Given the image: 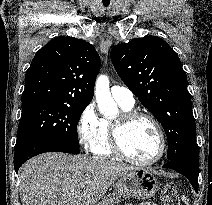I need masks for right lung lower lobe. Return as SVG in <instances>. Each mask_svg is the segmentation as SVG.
Returning a JSON list of instances; mask_svg holds the SVG:
<instances>
[{"label":"right lung lower lobe","mask_w":212,"mask_h":205,"mask_svg":"<svg viewBox=\"0 0 212 205\" xmlns=\"http://www.w3.org/2000/svg\"><path fill=\"white\" fill-rule=\"evenodd\" d=\"M14 150V168L16 172L25 161L41 153L65 152L77 154L80 152L79 146L52 139L31 141Z\"/></svg>","instance_id":"98d812e1"}]
</instances>
